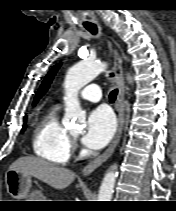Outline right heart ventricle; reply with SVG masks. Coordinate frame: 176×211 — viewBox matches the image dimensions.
<instances>
[{
	"mask_svg": "<svg viewBox=\"0 0 176 211\" xmlns=\"http://www.w3.org/2000/svg\"><path fill=\"white\" fill-rule=\"evenodd\" d=\"M32 148L36 156L56 164H65L71 155L72 142L58 118L56 107L42 115L35 125Z\"/></svg>",
	"mask_w": 176,
	"mask_h": 211,
	"instance_id": "e07e8e85",
	"label": "right heart ventricle"
}]
</instances>
